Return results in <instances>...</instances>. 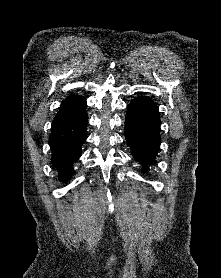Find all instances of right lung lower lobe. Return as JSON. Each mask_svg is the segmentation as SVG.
<instances>
[{
    "label": "right lung lower lobe",
    "mask_w": 221,
    "mask_h": 278,
    "mask_svg": "<svg viewBox=\"0 0 221 278\" xmlns=\"http://www.w3.org/2000/svg\"><path fill=\"white\" fill-rule=\"evenodd\" d=\"M88 116L86 108L76 117L52 128L49 143L51 163L60 181H68L73 174V164L81 155L87 137Z\"/></svg>",
    "instance_id": "obj_1"
}]
</instances>
